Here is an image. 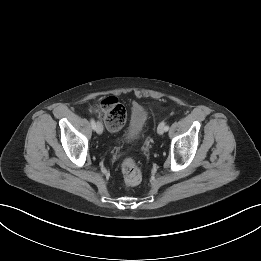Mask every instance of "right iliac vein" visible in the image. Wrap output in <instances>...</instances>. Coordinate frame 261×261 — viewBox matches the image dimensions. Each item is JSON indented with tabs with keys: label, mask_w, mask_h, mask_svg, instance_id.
<instances>
[{
	"label": "right iliac vein",
	"mask_w": 261,
	"mask_h": 261,
	"mask_svg": "<svg viewBox=\"0 0 261 261\" xmlns=\"http://www.w3.org/2000/svg\"><path fill=\"white\" fill-rule=\"evenodd\" d=\"M95 130H96V132L98 134H102V132H103V125L100 122H97Z\"/></svg>",
	"instance_id": "1"
}]
</instances>
